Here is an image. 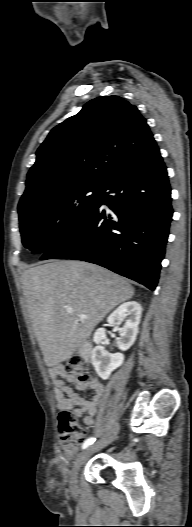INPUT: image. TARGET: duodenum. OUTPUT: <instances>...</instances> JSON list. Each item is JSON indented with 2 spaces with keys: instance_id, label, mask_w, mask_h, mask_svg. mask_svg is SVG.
Here are the masks:
<instances>
[{
  "instance_id": "410a0bca",
  "label": "duodenum",
  "mask_w": 192,
  "mask_h": 527,
  "mask_svg": "<svg viewBox=\"0 0 192 527\" xmlns=\"http://www.w3.org/2000/svg\"><path fill=\"white\" fill-rule=\"evenodd\" d=\"M92 346L89 343H85L81 348V353L88 356L91 353Z\"/></svg>"
}]
</instances>
